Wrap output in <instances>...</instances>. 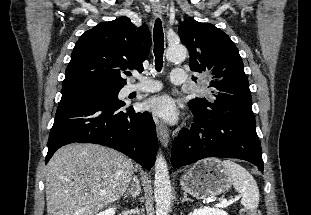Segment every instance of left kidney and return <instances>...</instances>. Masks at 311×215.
<instances>
[{
    "mask_svg": "<svg viewBox=\"0 0 311 215\" xmlns=\"http://www.w3.org/2000/svg\"><path fill=\"white\" fill-rule=\"evenodd\" d=\"M192 215H228L225 211L217 208L204 207L194 209Z\"/></svg>",
    "mask_w": 311,
    "mask_h": 215,
    "instance_id": "left-kidney-1",
    "label": "left kidney"
}]
</instances>
